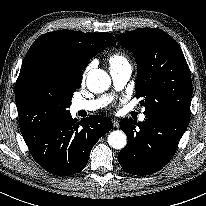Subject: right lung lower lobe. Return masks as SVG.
<instances>
[{
  "label": "right lung lower lobe",
  "mask_w": 206,
  "mask_h": 206,
  "mask_svg": "<svg viewBox=\"0 0 206 206\" xmlns=\"http://www.w3.org/2000/svg\"><path fill=\"white\" fill-rule=\"evenodd\" d=\"M112 127L111 120L103 116L91 115L78 122L69 113L21 133L42 168L54 175L69 176L84 169L92 147Z\"/></svg>",
  "instance_id": "right-lung-lower-lobe-1"
}]
</instances>
